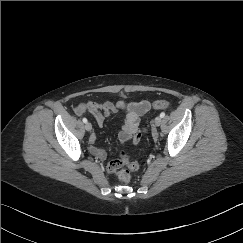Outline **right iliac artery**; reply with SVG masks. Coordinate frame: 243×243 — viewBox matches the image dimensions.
<instances>
[{"mask_svg":"<svg viewBox=\"0 0 243 243\" xmlns=\"http://www.w3.org/2000/svg\"><path fill=\"white\" fill-rule=\"evenodd\" d=\"M83 122H84V123H87V119H86V118H83Z\"/></svg>","mask_w":243,"mask_h":243,"instance_id":"right-iliac-artery-1","label":"right iliac artery"}]
</instances>
